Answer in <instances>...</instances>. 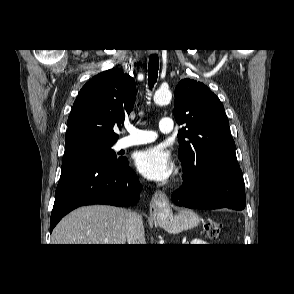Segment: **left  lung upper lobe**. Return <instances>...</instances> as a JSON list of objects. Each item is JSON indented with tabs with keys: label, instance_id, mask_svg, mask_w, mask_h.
<instances>
[{
	"label": "left lung upper lobe",
	"instance_id": "5c2ea615",
	"mask_svg": "<svg viewBox=\"0 0 294 294\" xmlns=\"http://www.w3.org/2000/svg\"><path fill=\"white\" fill-rule=\"evenodd\" d=\"M174 117L184 124L178 137L185 176L200 175L212 167L239 168L224 107L206 85L181 80L175 88Z\"/></svg>",
	"mask_w": 294,
	"mask_h": 294
}]
</instances>
